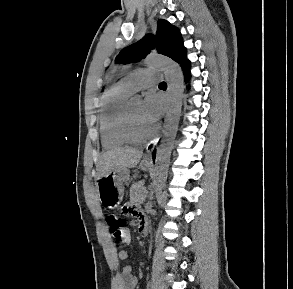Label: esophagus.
I'll list each match as a JSON object with an SVG mask.
<instances>
[{
    "instance_id": "esophagus-1",
    "label": "esophagus",
    "mask_w": 293,
    "mask_h": 289,
    "mask_svg": "<svg viewBox=\"0 0 293 289\" xmlns=\"http://www.w3.org/2000/svg\"><path fill=\"white\" fill-rule=\"evenodd\" d=\"M157 143H158V139L155 140V141H153V142H151L147 146V148H146V154L144 156V161H148V162L152 161V152L156 148Z\"/></svg>"
}]
</instances>
